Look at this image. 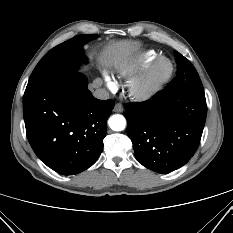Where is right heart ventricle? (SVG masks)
I'll return each mask as SVG.
<instances>
[{"instance_id": "right-heart-ventricle-1", "label": "right heart ventricle", "mask_w": 233, "mask_h": 233, "mask_svg": "<svg viewBox=\"0 0 233 233\" xmlns=\"http://www.w3.org/2000/svg\"><path fill=\"white\" fill-rule=\"evenodd\" d=\"M157 57H158V54L155 51L146 52L144 55L145 65L151 64Z\"/></svg>"}]
</instances>
